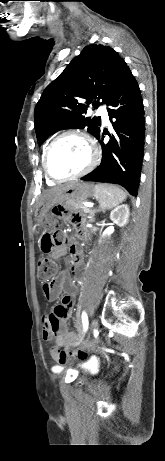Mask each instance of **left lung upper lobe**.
<instances>
[{"label":"left lung upper lobe","instance_id":"obj_1","mask_svg":"<svg viewBox=\"0 0 165 461\" xmlns=\"http://www.w3.org/2000/svg\"><path fill=\"white\" fill-rule=\"evenodd\" d=\"M128 68L111 47L86 46L42 93L34 113L38 142L43 143L49 135L67 128L87 127L97 137L99 118H87L84 114L89 104L97 108L107 103Z\"/></svg>","mask_w":165,"mask_h":461}]
</instances>
